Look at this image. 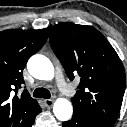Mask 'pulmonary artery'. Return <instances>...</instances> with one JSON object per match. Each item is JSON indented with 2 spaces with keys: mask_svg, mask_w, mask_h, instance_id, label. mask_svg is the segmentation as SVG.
I'll return each mask as SVG.
<instances>
[{
  "mask_svg": "<svg viewBox=\"0 0 127 127\" xmlns=\"http://www.w3.org/2000/svg\"><path fill=\"white\" fill-rule=\"evenodd\" d=\"M53 74L56 78L59 89L61 91H64L65 84H64V80H63V76H62V72H61V67L59 64L55 65V68L53 70Z\"/></svg>",
  "mask_w": 127,
  "mask_h": 127,
  "instance_id": "obj_1",
  "label": "pulmonary artery"
}]
</instances>
